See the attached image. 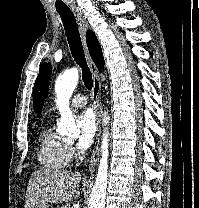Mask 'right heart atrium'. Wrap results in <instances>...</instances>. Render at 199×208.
Segmentation results:
<instances>
[{"label":"right heart atrium","mask_w":199,"mask_h":208,"mask_svg":"<svg viewBox=\"0 0 199 208\" xmlns=\"http://www.w3.org/2000/svg\"><path fill=\"white\" fill-rule=\"evenodd\" d=\"M69 153H70L71 158L76 156V151H75L74 147L69 146Z\"/></svg>","instance_id":"1"}]
</instances>
